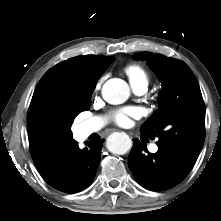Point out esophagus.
Wrapping results in <instances>:
<instances>
[{
	"instance_id": "obj_1",
	"label": "esophagus",
	"mask_w": 221,
	"mask_h": 221,
	"mask_svg": "<svg viewBox=\"0 0 221 221\" xmlns=\"http://www.w3.org/2000/svg\"><path fill=\"white\" fill-rule=\"evenodd\" d=\"M112 131L111 130H109L107 133H111Z\"/></svg>"
}]
</instances>
